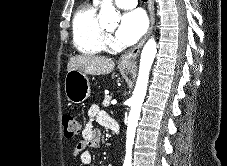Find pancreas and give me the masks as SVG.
I'll return each mask as SVG.
<instances>
[{
    "mask_svg": "<svg viewBox=\"0 0 227 166\" xmlns=\"http://www.w3.org/2000/svg\"><path fill=\"white\" fill-rule=\"evenodd\" d=\"M110 101H111V96L106 95L103 101V106L108 107L110 105Z\"/></svg>",
    "mask_w": 227,
    "mask_h": 166,
    "instance_id": "pancreas-1",
    "label": "pancreas"
}]
</instances>
